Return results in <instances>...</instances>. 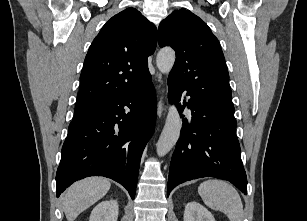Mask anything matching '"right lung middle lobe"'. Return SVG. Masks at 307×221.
Returning <instances> with one entry per match:
<instances>
[{
  "instance_id": "obj_1",
  "label": "right lung middle lobe",
  "mask_w": 307,
  "mask_h": 221,
  "mask_svg": "<svg viewBox=\"0 0 307 221\" xmlns=\"http://www.w3.org/2000/svg\"><path fill=\"white\" fill-rule=\"evenodd\" d=\"M97 106H81V107H76L74 111V117L73 119L80 118L91 111L95 110Z\"/></svg>"
}]
</instances>
